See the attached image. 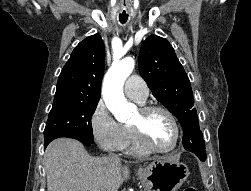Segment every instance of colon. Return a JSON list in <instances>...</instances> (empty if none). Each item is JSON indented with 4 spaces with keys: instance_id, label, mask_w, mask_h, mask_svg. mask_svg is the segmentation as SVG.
Instances as JSON below:
<instances>
[{
    "instance_id": "colon-1",
    "label": "colon",
    "mask_w": 251,
    "mask_h": 191,
    "mask_svg": "<svg viewBox=\"0 0 251 191\" xmlns=\"http://www.w3.org/2000/svg\"><path fill=\"white\" fill-rule=\"evenodd\" d=\"M183 191H198V189L195 187H186L183 189Z\"/></svg>"
}]
</instances>
